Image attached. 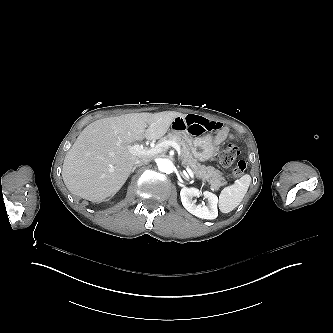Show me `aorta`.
Wrapping results in <instances>:
<instances>
[{
  "mask_svg": "<svg viewBox=\"0 0 333 333\" xmlns=\"http://www.w3.org/2000/svg\"><path fill=\"white\" fill-rule=\"evenodd\" d=\"M159 171L163 173H171L173 171L174 164L171 160L162 158L157 163Z\"/></svg>",
  "mask_w": 333,
  "mask_h": 333,
  "instance_id": "1",
  "label": "aorta"
}]
</instances>
